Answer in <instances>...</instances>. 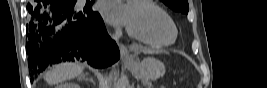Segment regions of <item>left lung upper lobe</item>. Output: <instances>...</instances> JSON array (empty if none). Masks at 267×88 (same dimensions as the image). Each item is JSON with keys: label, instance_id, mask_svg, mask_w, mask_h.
Returning a JSON list of instances; mask_svg holds the SVG:
<instances>
[{"label": "left lung upper lobe", "instance_id": "left-lung-upper-lobe-1", "mask_svg": "<svg viewBox=\"0 0 267 88\" xmlns=\"http://www.w3.org/2000/svg\"><path fill=\"white\" fill-rule=\"evenodd\" d=\"M166 5H168L172 10L180 11L187 14L189 5L187 0H162Z\"/></svg>", "mask_w": 267, "mask_h": 88}]
</instances>
